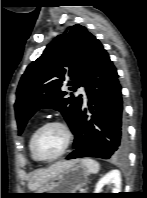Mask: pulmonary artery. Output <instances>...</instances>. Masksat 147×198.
<instances>
[{
  "label": "pulmonary artery",
  "instance_id": "1",
  "mask_svg": "<svg viewBox=\"0 0 147 198\" xmlns=\"http://www.w3.org/2000/svg\"><path fill=\"white\" fill-rule=\"evenodd\" d=\"M78 93L82 95L84 103L86 104L88 99H87V95H86V92H85L84 88L80 87L78 89Z\"/></svg>",
  "mask_w": 147,
  "mask_h": 198
}]
</instances>
